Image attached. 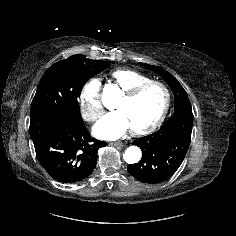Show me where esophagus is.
<instances>
[{"label": "esophagus", "instance_id": "obj_1", "mask_svg": "<svg viewBox=\"0 0 236 236\" xmlns=\"http://www.w3.org/2000/svg\"><path fill=\"white\" fill-rule=\"evenodd\" d=\"M109 145L110 146H115V147H117V146H119V147L124 146V144L122 142H109Z\"/></svg>", "mask_w": 236, "mask_h": 236}]
</instances>
